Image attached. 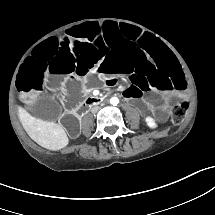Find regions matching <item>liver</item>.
<instances>
[{"label":"liver","instance_id":"1","mask_svg":"<svg viewBox=\"0 0 215 215\" xmlns=\"http://www.w3.org/2000/svg\"><path fill=\"white\" fill-rule=\"evenodd\" d=\"M18 116L29 137L40 146L50 150L67 146L69 139L62 125L37 119L22 107L18 109Z\"/></svg>","mask_w":215,"mask_h":215}]
</instances>
